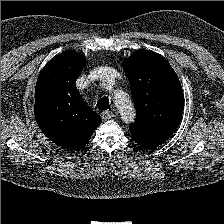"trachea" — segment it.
I'll list each match as a JSON object with an SVG mask.
<instances>
[{"instance_id": "trachea-1", "label": "trachea", "mask_w": 224, "mask_h": 224, "mask_svg": "<svg viewBox=\"0 0 224 224\" xmlns=\"http://www.w3.org/2000/svg\"><path fill=\"white\" fill-rule=\"evenodd\" d=\"M97 107L100 110H106L109 107V99L108 98H101L98 102H97Z\"/></svg>"}]
</instances>
